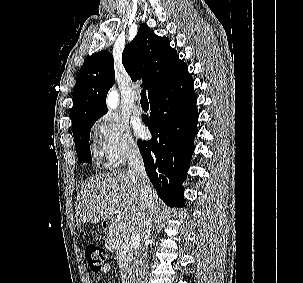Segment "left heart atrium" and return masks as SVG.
I'll return each instance as SVG.
<instances>
[{
  "label": "left heart atrium",
  "instance_id": "39dd6f15",
  "mask_svg": "<svg viewBox=\"0 0 303 283\" xmlns=\"http://www.w3.org/2000/svg\"><path fill=\"white\" fill-rule=\"evenodd\" d=\"M144 127L143 126H141V125H138L137 127H136V132H137V134L139 135V136H142L143 134H144Z\"/></svg>",
  "mask_w": 303,
  "mask_h": 283
}]
</instances>
